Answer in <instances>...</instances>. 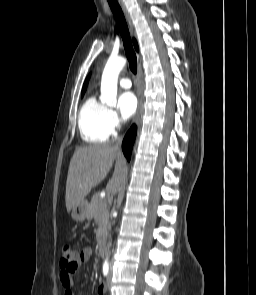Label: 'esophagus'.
<instances>
[{"label": "esophagus", "mask_w": 256, "mask_h": 295, "mask_svg": "<svg viewBox=\"0 0 256 295\" xmlns=\"http://www.w3.org/2000/svg\"><path fill=\"white\" fill-rule=\"evenodd\" d=\"M123 12L126 16V19L129 23L130 29L132 34H134V28H133V24L131 21V17L129 12L127 11V9L125 8V6L121 3ZM137 61H138V90H137V94H138V108L134 117V123L138 120L141 112H142V105H143V101H142V89H141V77H142V59L140 54H137Z\"/></svg>", "instance_id": "obj_1"}]
</instances>
